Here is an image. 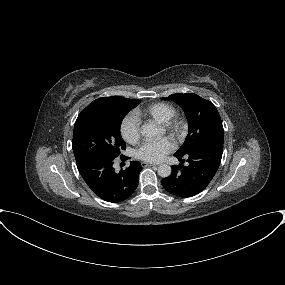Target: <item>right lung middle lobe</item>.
<instances>
[{
    "mask_svg": "<svg viewBox=\"0 0 285 285\" xmlns=\"http://www.w3.org/2000/svg\"><path fill=\"white\" fill-rule=\"evenodd\" d=\"M140 100L116 96L90 103L78 116L73 132L75 158L99 156L115 159L126 145L120 126Z\"/></svg>",
    "mask_w": 285,
    "mask_h": 285,
    "instance_id": "1",
    "label": "right lung middle lobe"
}]
</instances>
